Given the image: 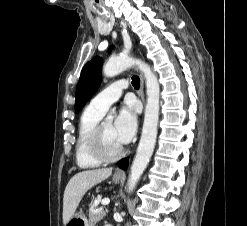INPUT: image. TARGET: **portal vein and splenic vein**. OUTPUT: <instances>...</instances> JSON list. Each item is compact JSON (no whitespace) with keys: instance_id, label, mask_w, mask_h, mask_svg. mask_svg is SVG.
<instances>
[{"instance_id":"obj_1","label":"portal vein and splenic vein","mask_w":247,"mask_h":226,"mask_svg":"<svg viewBox=\"0 0 247 226\" xmlns=\"http://www.w3.org/2000/svg\"><path fill=\"white\" fill-rule=\"evenodd\" d=\"M110 203V199L109 198H104L102 200V205H108Z\"/></svg>"}]
</instances>
